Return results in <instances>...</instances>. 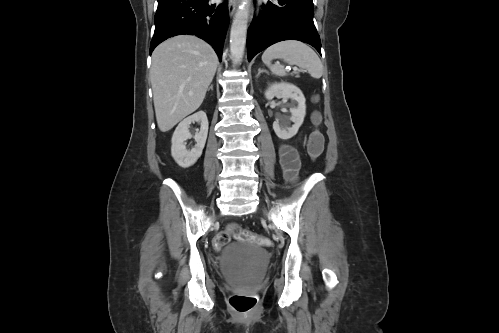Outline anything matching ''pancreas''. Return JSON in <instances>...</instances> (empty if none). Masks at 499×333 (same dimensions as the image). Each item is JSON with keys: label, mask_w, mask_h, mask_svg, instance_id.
I'll return each mask as SVG.
<instances>
[{"label": "pancreas", "mask_w": 499, "mask_h": 333, "mask_svg": "<svg viewBox=\"0 0 499 333\" xmlns=\"http://www.w3.org/2000/svg\"><path fill=\"white\" fill-rule=\"evenodd\" d=\"M293 73L296 75L297 78L299 77V73L297 71H294Z\"/></svg>", "instance_id": "pancreas-1"}]
</instances>
